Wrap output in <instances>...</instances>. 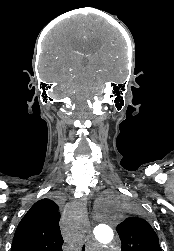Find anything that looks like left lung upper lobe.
<instances>
[{
	"label": "left lung upper lobe",
	"mask_w": 174,
	"mask_h": 251,
	"mask_svg": "<svg viewBox=\"0 0 174 251\" xmlns=\"http://www.w3.org/2000/svg\"><path fill=\"white\" fill-rule=\"evenodd\" d=\"M122 251H162L152 227L139 217H130L116 228Z\"/></svg>",
	"instance_id": "5c2ea615"
}]
</instances>
